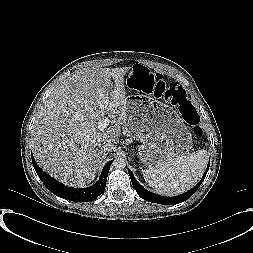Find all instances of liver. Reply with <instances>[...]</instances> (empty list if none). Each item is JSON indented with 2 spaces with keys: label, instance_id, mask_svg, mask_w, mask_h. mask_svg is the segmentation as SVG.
<instances>
[{
  "label": "liver",
  "instance_id": "1",
  "mask_svg": "<svg viewBox=\"0 0 253 253\" xmlns=\"http://www.w3.org/2000/svg\"><path fill=\"white\" fill-rule=\"evenodd\" d=\"M128 71L129 67L84 68L52 90L31 132L34 158L44 171L74 187L94 180L107 156L104 145L112 151L118 143ZM106 114L114 125L100 131L97 120Z\"/></svg>",
  "mask_w": 253,
  "mask_h": 253
}]
</instances>
